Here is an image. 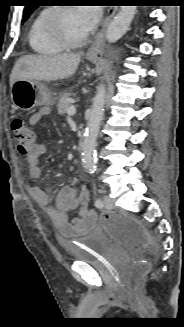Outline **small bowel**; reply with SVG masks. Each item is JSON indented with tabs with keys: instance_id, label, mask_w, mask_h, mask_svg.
Masks as SVG:
<instances>
[{
	"instance_id": "c3829d8e",
	"label": "small bowel",
	"mask_w": 184,
	"mask_h": 327,
	"mask_svg": "<svg viewBox=\"0 0 184 327\" xmlns=\"http://www.w3.org/2000/svg\"><path fill=\"white\" fill-rule=\"evenodd\" d=\"M48 113L47 107L41 108L29 118V124L37 125ZM46 151V144L38 142L27 155L29 174L33 179L42 176L41 156ZM29 192L36 203L50 216L56 227L67 237L83 235L96 225V215L89 208V190L85 185L79 194L72 186L61 188L54 206H49V196L42 188L31 186ZM75 212L76 215L71 218Z\"/></svg>"
}]
</instances>
